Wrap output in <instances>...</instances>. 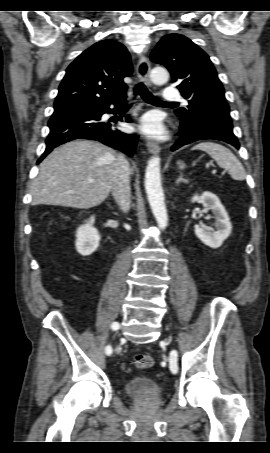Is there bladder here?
Segmentation results:
<instances>
[{
	"mask_svg": "<svg viewBox=\"0 0 270 453\" xmlns=\"http://www.w3.org/2000/svg\"><path fill=\"white\" fill-rule=\"evenodd\" d=\"M124 392L133 398L157 399L162 394V388L147 376H136L124 384Z\"/></svg>",
	"mask_w": 270,
	"mask_h": 453,
	"instance_id": "1",
	"label": "bladder"
}]
</instances>
